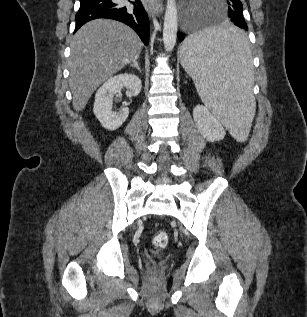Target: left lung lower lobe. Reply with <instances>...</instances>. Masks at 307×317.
<instances>
[{"label":"left lung lower lobe","mask_w":307,"mask_h":317,"mask_svg":"<svg viewBox=\"0 0 307 317\" xmlns=\"http://www.w3.org/2000/svg\"><path fill=\"white\" fill-rule=\"evenodd\" d=\"M230 21L240 27L242 29L240 36H235V37H226L223 42L222 45L227 48L228 50L231 51H237L239 49H241L244 44L247 42V37L244 31H248V27L246 25L245 22H243L242 20H240L237 17L234 18H230ZM185 34L182 32H178V38L179 41L181 42L184 39Z\"/></svg>","instance_id":"0a47b994"}]
</instances>
